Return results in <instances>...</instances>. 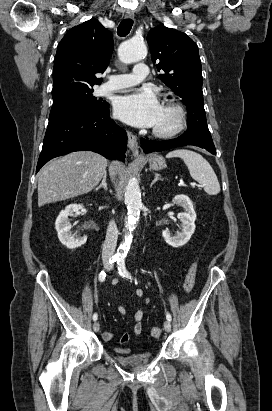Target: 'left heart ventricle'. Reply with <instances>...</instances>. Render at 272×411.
Instances as JSON below:
<instances>
[{
    "mask_svg": "<svg viewBox=\"0 0 272 411\" xmlns=\"http://www.w3.org/2000/svg\"><path fill=\"white\" fill-rule=\"evenodd\" d=\"M173 120H174V117L172 113L162 109L160 119L156 126L160 128H168L173 124Z\"/></svg>",
    "mask_w": 272,
    "mask_h": 411,
    "instance_id": "left-heart-ventricle-1",
    "label": "left heart ventricle"
}]
</instances>
